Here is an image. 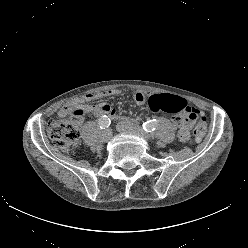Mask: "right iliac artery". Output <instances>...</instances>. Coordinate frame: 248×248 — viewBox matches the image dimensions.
I'll list each match as a JSON object with an SVG mask.
<instances>
[{"label": "right iliac artery", "instance_id": "82829eb1", "mask_svg": "<svg viewBox=\"0 0 248 248\" xmlns=\"http://www.w3.org/2000/svg\"><path fill=\"white\" fill-rule=\"evenodd\" d=\"M110 124L111 121L106 115L102 116L98 121V125L100 129H106L110 126Z\"/></svg>", "mask_w": 248, "mask_h": 248}]
</instances>
